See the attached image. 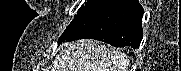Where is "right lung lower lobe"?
Wrapping results in <instances>:
<instances>
[{
	"label": "right lung lower lobe",
	"instance_id": "98d812e1",
	"mask_svg": "<svg viewBox=\"0 0 181 71\" xmlns=\"http://www.w3.org/2000/svg\"><path fill=\"white\" fill-rule=\"evenodd\" d=\"M143 13L137 0H96L74 18L58 44L92 38L116 47L137 49L143 38Z\"/></svg>",
	"mask_w": 181,
	"mask_h": 71
}]
</instances>
